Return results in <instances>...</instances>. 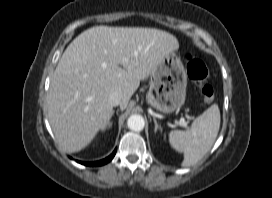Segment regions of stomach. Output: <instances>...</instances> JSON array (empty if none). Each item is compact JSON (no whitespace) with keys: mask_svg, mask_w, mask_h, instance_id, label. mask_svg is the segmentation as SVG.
Here are the masks:
<instances>
[{"mask_svg":"<svg viewBox=\"0 0 272 198\" xmlns=\"http://www.w3.org/2000/svg\"><path fill=\"white\" fill-rule=\"evenodd\" d=\"M186 86L187 74L181 59L174 52L169 53L150 74L147 102L160 112L172 113L184 104Z\"/></svg>","mask_w":272,"mask_h":198,"instance_id":"obj_1","label":"stomach"}]
</instances>
